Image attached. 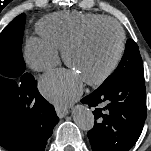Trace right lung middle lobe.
I'll list each match as a JSON object with an SVG mask.
<instances>
[{
    "mask_svg": "<svg viewBox=\"0 0 151 151\" xmlns=\"http://www.w3.org/2000/svg\"><path fill=\"white\" fill-rule=\"evenodd\" d=\"M26 22L24 13L11 21L0 33V74L15 79L25 72L22 57V40ZM0 101V108L5 107Z\"/></svg>",
    "mask_w": 151,
    "mask_h": 151,
    "instance_id": "right-lung-middle-lobe-1",
    "label": "right lung middle lobe"
}]
</instances>
